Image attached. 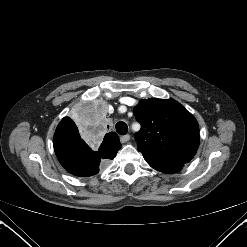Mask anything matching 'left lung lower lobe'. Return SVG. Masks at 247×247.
Instances as JSON below:
<instances>
[{
	"label": "left lung lower lobe",
	"mask_w": 247,
	"mask_h": 247,
	"mask_svg": "<svg viewBox=\"0 0 247 247\" xmlns=\"http://www.w3.org/2000/svg\"><path fill=\"white\" fill-rule=\"evenodd\" d=\"M147 163L154 169L164 173H176L179 172L184 164L182 163H169V162H158V161H147Z\"/></svg>",
	"instance_id": "left-lung-lower-lobe-1"
}]
</instances>
